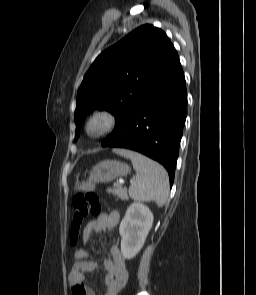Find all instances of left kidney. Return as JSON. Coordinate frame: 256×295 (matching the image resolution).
Here are the masks:
<instances>
[{
    "label": "left kidney",
    "mask_w": 256,
    "mask_h": 295,
    "mask_svg": "<svg viewBox=\"0 0 256 295\" xmlns=\"http://www.w3.org/2000/svg\"><path fill=\"white\" fill-rule=\"evenodd\" d=\"M153 224L150 209L140 203H132L120 223L121 252L124 258H134L144 245Z\"/></svg>",
    "instance_id": "left-kidney-1"
}]
</instances>
